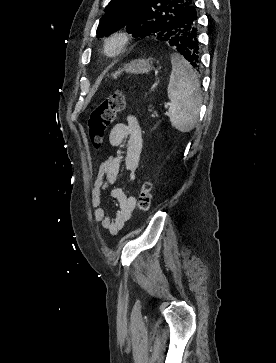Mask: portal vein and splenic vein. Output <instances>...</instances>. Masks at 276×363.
Listing matches in <instances>:
<instances>
[{"label": "portal vein and splenic vein", "instance_id": "1", "mask_svg": "<svg viewBox=\"0 0 276 363\" xmlns=\"http://www.w3.org/2000/svg\"><path fill=\"white\" fill-rule=\"evenodd\" d=\"M169 105H170L169 103L165 104V108H168V107H169Z\"/></svg>", "mask_w": 276, "mask_h": 363}]
</instances>
